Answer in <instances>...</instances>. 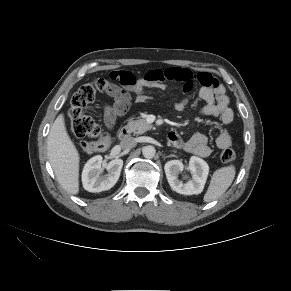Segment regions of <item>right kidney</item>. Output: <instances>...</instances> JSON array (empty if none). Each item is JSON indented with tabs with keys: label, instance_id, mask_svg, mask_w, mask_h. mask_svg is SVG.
Returning <instances> with one entry per match:
<instances>
[{
	"label": "right kidney",
	"instance_id": "1",
	"mask_svg": "<svg viewBox=\"0 0 291 291\" xmlns=\"http://www.w3.org/2000/svg\"><path fill=\"white\" fill-rule=\"evenodd\" d=\"M102 156L92 157L84 166L82 183L89 192H101L112 188L120 177L123 160L113 159L106 165L107 174L101 175Z\"/></svg>",
	"mask_w": 291,
	"mask_h": 291
}]
</instances>
